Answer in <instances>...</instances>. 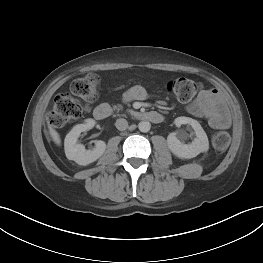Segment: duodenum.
I'll return each instance as SVG.
<instances>
[{"mask_svg": "<svg viewBox=\"0 0 263 263\" xmlns=\"http://www.w3.org/2000/svg\"><path fill=\"white\" fill-rule=\"evenodd\" d=\"M110 114H111V109L108 105L105 104L97 106L93 111L94 118L97 120H104ZM136 118L141 120H147L152 123H160L163 121V115L157 111H148L144 113H139L136 115Z\"/></svg>", "mask_w": 263, "mask_h": 263, "instance_id": "1", "label": "duodenum"}]
</instances>
